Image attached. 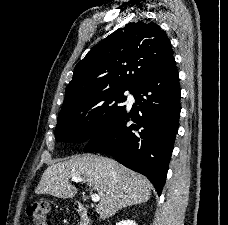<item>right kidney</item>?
<instances>
[{
    "label": "right kidney",
    "mask_w": 228,
    "mask_h": 225,
    "mask_svg": "<svg viewBox=\"0 0 228 225\" xmlns=\"http://www.w3.org/2000/svg\"><path fill=\"white\" fill-rule=\"evenodd\" d=\"M117 225H136L135 221H120Z\"/></svg>",
    "instance_id": "1"
}]
</instances>
